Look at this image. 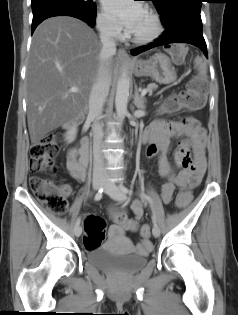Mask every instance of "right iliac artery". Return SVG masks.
Here are the masks:
<instances>
[{"mask_svg": "<svg viewBox=\"0 0 238 315\" xmlns=\"http://www.w3.org/2000/svg\"><path fill=\"white\" fill-rule=\"evenodd\" d=\"M102 196H103V189H100V190L96 193L94 199H95L96 201H98V200H100V199L102 198ZM80 222H81V219L78 218L77 221H76V226L79 225Z\"/></svg>", "mask_w": 238, "mask_h": 315, "instance_id": "82829eb1", "label": "right iliac artery"}]
</instances>
